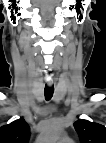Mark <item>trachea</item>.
Here are the masks:
<instances>
[{
	"label": "trachea",
	"mask_w": 106,
	"mask_h": 143,
	"mask_svg": "<svg viewBox=\"0 0 106 143\" xmlns=\"http://www.w3.org/2000/svg\"><path fill=\"white\" fill-rule=\"evenodd\" d=\"M54 93V86H45V98L50 100Z\"/></svg>",
	"instance_id": "1"
}]
</instances>
